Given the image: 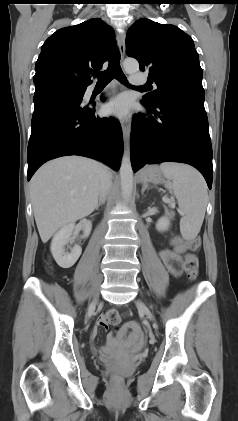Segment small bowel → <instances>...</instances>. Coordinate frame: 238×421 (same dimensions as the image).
Masks as SVG:
<instances>
[{"mask_svg": "<svg viewBox=\"0 0 238 421\" xmlns=\"http://www.w3.org/2000/svg\"><path fill=\"white\" fill-rule=\"evenodd\" d=\"M172 248L164 249L160 251V258L163 261L164 265L168 271L174 275H177L181 272V254L185 251L183 244L179 237H174L171 241ZM111 314H118L116 310H109L105 314H102L93 329V335L96 336L100 329H106L110 324ZM126 327L131 330L132 342H139L141 340V332L139 325L134 322H128ZM110 343L114 344L115 340L112 336L108 337Z\"/></svg>", "mask_w": 238, "mask_h": 421, "instance_id": "obj_1", "label": "small bowel"}]
</instances>
